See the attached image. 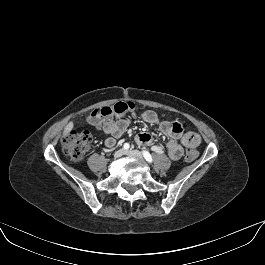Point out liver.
<instances>
[{
    "instance_id": "liver-1",
    "label": "liver",
    "mask_w": 265,
    "mask_h": 265,
    "mask_svg": "<svg viewBox=\"0 0 265 265\" xmlns=\"http://www.w3.org/2000/svg\"><path fill=\"white\" fill-rule=\"evenodd\" d=\"M73 126H74V124H73L72 121L69 122V123L65 126L64 131H63V136H64V137L67 136V135L69 134V132L72 130Z\"/></svg>"
}]
</instances>
